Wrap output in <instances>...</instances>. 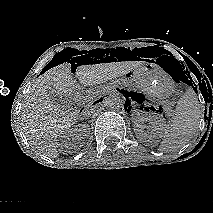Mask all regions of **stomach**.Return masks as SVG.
I'll return each instance as SVG.
<instances>
[{
  "instance_id": "1",
  "label": "stomach",
  "mask_w": 213,
  "mask_h": 213,
  "mask_svg": "<svg viewBox=\"0 0 213 213\" xmlns=\"http://www.w3.org/2000/svg\"><path fill=\"white\" fill-rule=\"evenodd\" d=\"M126 76L153 100L167 101L175 91L171 78L165 77L161 68L154 63L140 65Z\"/></svg>"
}]
</instances>
